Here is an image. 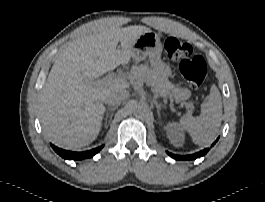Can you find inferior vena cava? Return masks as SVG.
I'll use <instances>...</instances> for the list:
<instances>
[{
	"label": "inferior vena cava",
	"mask_w": 265,
	"mask_h": 202,
	"mask_svg": "<svg viewBox=\"0 0 265 202\" xmlns=\"http://www.w3.org/2000/svg\"><path fill=\"white\" fill-rule=\"evenodd\" d=\"M129 93L127 90L114 89L111 90L104 100V102L109 106H119L127 97Z\"/></svg>",
	"instance_id": "602c4592"
}]
</instances>
